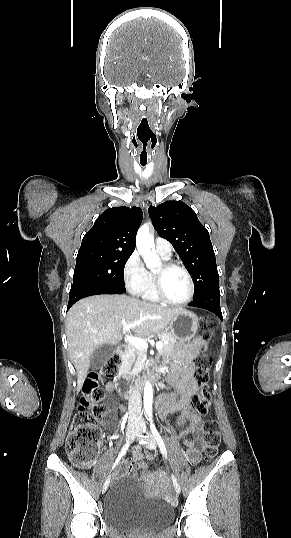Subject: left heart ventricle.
<instances>
[{
    "label": "left heart ventricle",
    "mask_w": 291,
    "mask_h": 538,
    "mask_svg": "<svg viewBox=\"0 0 291 538\" xmlns=\"http://www.w3.org/2000/svg\"><path fill=\"white\" fill-rule=\"evenodd\" d=\"M161 266L156 269L159 271ZM163 288L166 296L173 301H181L189 292V283L185 274L180 270H171L163 275Z\"/></svg>",
    "instance_id": "b2bd125f"
}]
</instances>
